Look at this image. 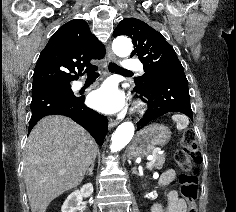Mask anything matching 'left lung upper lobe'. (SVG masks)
Masks as SVG:
<instances>
[{
    "label": "left lung upper lobe",
    "instance_id": "1",
    "mask_svg": "<svg viewBox=\"0 0 236 212\" xmlns=\"http://www.w3.org/2000/svg\"><path fill=\"white\" fill-rule=\"evenodd\" d=\"M129 36L134 44L132 56H138L143 63L145 74L135 78V88L145 89L153 81L174 70H183L173 47L161 33L136 18L122 20L113 32V36Z\"/></svg>",
    "mask_w": 236,
    "mask_h": 212
}]
</instances>
